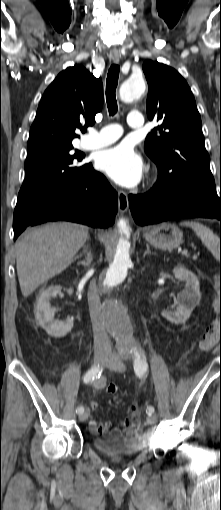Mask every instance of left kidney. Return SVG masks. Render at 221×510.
I'll return each instance as SVG.
<instances>
[{"label": "left kidney", "instance_id": "5707ae66", "mask_svg": "<svg viewBox=\"0 0 221 510\" xmlns=\"http://www.w3.org/2000/svg\"><path fill=\"white\" fill-rule=\"evenodd\" d=\"M173 274L177 279L185 282V289L177 295L178 306L176 310H164L161 315L171 323L183 324L189 319L193 309L200 302V286L196 275L184 266L174 267Z\"/></svg>", "mask_w": 221, "mask_h": 510}]
</instances>
